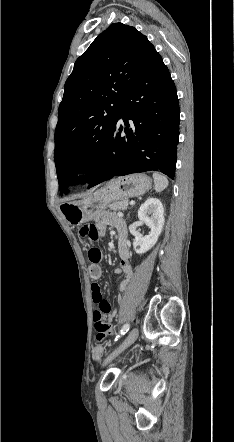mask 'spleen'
Masks as SVG:
<instances>
[{
	"label": "spleen",
	"mask_w": 234,
	"mask_h": 442,
	"mask_svg": "<svg viewBox=\"0 0 234 442\" xmlns=\"http://www.w3.org/2000/svg\"><path fill=\"white\" fill-rule=\"evenodd\" d=\"M153 179L156 192H161L168 186V179L160 173L154 172Z\"/></svg>",
	"instance_id": "1"
}]
</instances>
